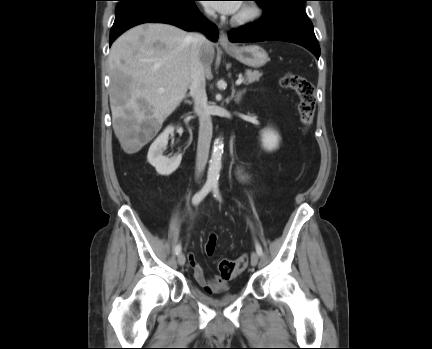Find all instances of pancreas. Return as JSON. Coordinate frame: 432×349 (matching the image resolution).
Masks as SVG:
<instances>
[{
    "instance_id": "pancreas-1",
    "label": "pancreas",
    "mask_w": 432,
    "mask_h": 349,
    "mask_svg": "<svg viewBox=\"0 0 432 349\" xmlns=\"http://www.w3.org/2000/svg\"><path fill=\"white\" fill-rule=\"evenodd\" d=\"M261 76H262V73L257 71V70H255V71L246 70L244 84L248 85V84H251L255 81H259Z\"/></svg>"
}]
</instances>
